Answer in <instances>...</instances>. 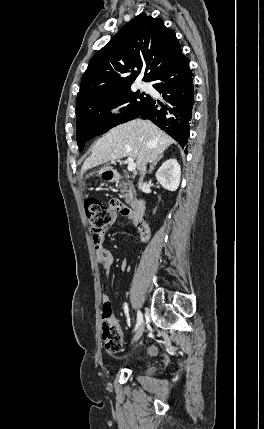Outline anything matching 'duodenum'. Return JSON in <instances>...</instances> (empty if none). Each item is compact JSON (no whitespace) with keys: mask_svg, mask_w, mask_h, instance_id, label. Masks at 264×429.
<instances>
[{"mask_svg":"<svg viewBox=\"0 0 264 429\" xmlns=\"http://www.w3.org/2000/svg\"><path fill=\"white\" fill-rule=\"evenodd\" d=\"M111 178L114 181H119L122 179V176L119 173H113ZM145 210L146 203L143 199L138 198L133 202V211L131 213V219L133 223L138 224L142 222Z\"/></svg>","mask_w":264,"mask_h":429,"instance_id":"obj_1","label":"duodenum"}]
</instances>
